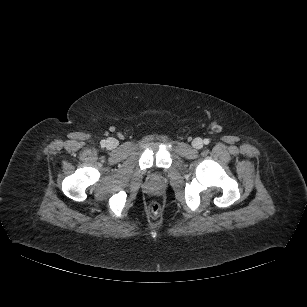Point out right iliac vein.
Wrapping results in <instances>:
<instances>
[{"instance_id": "1", "label": "right iliac vein", "mask_w": 307, "mask_h": 307, "mask_svg": "<svg viewBox=\"0 0 307 307\" xmlns=\"http://www.w3.org/2000/svg\"><path fill=\"white\" fill-rule=\"evenodd\" d=\"M107 144V147L110 148V149H114L118 146L119 142L117 139L115 138H109L106 142Z\"/></svg>"}]
</instances>
